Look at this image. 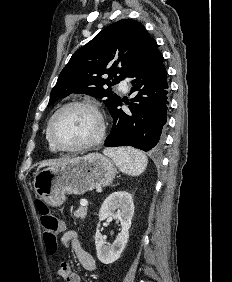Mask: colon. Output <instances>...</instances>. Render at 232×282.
<instances>
[{"instance_id": "1", "label": "colon", "mask_w": 232, "mask_h": 282, "mask_svg": "<svg viewBox=\"0 0 232 282\" xmlns=\"http://www.w3.org/2000/svg\"><path fill=\"white\" fill-rule=\"evenodd\" d=\"M36 206L40 214L46 251L53 255L58 249V236L62 230V224L41 200L36 201Z\"/></svg>"}]
</instances>
